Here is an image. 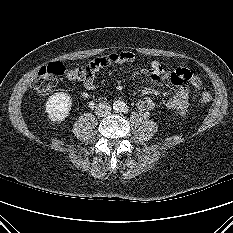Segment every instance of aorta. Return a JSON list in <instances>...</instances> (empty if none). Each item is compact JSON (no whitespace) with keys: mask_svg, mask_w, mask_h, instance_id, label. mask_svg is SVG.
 Returning a JSON list of instances; mask_svg holds the SVG:
<instances>
[{"mask_svg":"<svg viewBox=\"0 0 233 233\" xmlns=\"http://www.w3.org/2000/svg\"><path fill=\"white\" fill-rule=\"evenodd\" d=\"M121 105H122V103L119 102V101H117V102L114 103V108H115V109H118V108L121 107Z\"/></svg>","mask_w":233,"mask_h":233,"instance_id":"762f6f07","label":"aorta"}]
</instances>
